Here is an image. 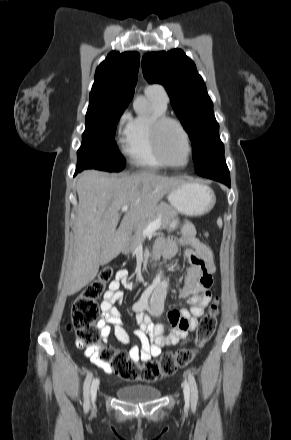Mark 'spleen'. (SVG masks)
I'll return each instance as SVG.
<instances>
[{
	"mask_svg": "<svg viewBox=\"0 0 291 440\" xmlns=\"http://www.w3.org/2000/svg\"><path fill=\"white\" fill-rule=\"evenodd\" d=\"M217 224L220 228L222 227V218H220V217L218 218Z\"/></svg>",
	"mask_w": 291,
	"mask_h": 440,
	"instance_id": "obj_1",
	"label": "spleen"
}]
</instances>
